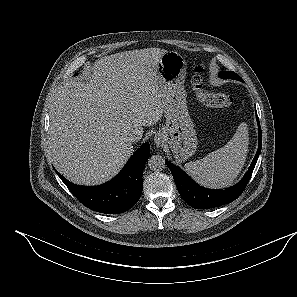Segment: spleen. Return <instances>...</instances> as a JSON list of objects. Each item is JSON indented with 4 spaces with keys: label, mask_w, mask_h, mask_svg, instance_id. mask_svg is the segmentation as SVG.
Wrapping results in <instances>:
<instances>
[{
    "label": "spleen",
    "mask_w": 297,
    "mask_h": 297,
    "mask_svg": "<svg viewBox=\"0 0 297 297\" xmlns=\"http://www.w3.org/2000/svg\"><path fill=\"white\" fill-rule=\"evenodd\" d=\"M249 144L248 127L242 122L232 139L203 159L185 164L186 172L199 184L210 188L230 186L246 161Z\"/></svg>",
    "instance_id": "1"
}]
</instances>
